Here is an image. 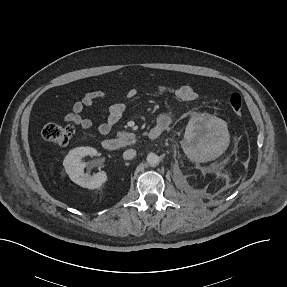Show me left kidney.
Instances as JSON below:
<instances>
[{
    "label": "left kidney",
    "instance_id": "obj_1",
    "mask_svg": "<svg viewBox=\"0 0 287 287\" xmlns=\"http://www.w3.org/2000/svg\"><path fill=\"white\" fill-rule=\"evenodd\" d=\"M215 132L216 136H218L215 140L212 139V134H202L199 131V125L197 124V120L192 118L187 124L184 139L187 143H193L197 145L200 149L207 147V150H209L210 152L209 158L212 159L220 155L226 147L224 142V132L222 130Z\"/></svg>",
    "mask_w": 287,
    "mask_h": 287
}]
</instances>
